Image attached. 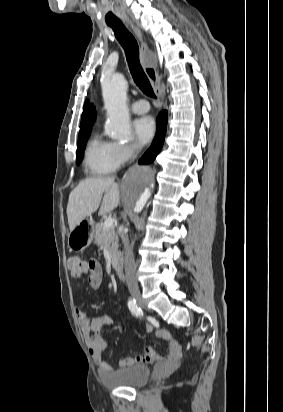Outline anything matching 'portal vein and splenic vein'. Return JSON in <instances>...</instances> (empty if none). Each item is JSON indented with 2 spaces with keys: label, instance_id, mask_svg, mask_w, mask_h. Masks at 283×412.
I'll return each instance as SVG.
<instances>
[{
  "label": "portal vein and splenic vein",
  "instance_id": "portal-vein-and-splenic-vein-1",
  "mask_svg": "<svg viewBox=\"0 0 283 412\" xmlns=\"http://www.w3.org/2000/svg\"><path fill=\"white\" fill-rule=\"evenodd\" d=\"M113 223H114V220L112 218H107L103 223L104 229L113 227Z\"/></svg>",
  "mask_w": 283,
  "mask_h": 412
}]
</instances>
